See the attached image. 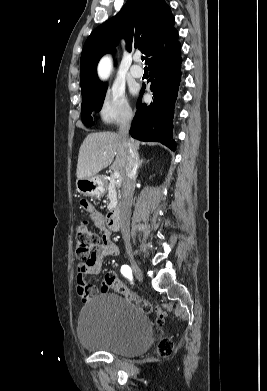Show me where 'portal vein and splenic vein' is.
<instances>
[{
  "label": "portal vein and splenic vein",
  "mask_w": 267,
  "mask_h": 391,
  "mask_svg": "<svg viewBox=\"0 0 267 391\" xmlns=\"http://www.w3.org/2000/svg\"><path fill=\"white\" fill-rule=\"evenodd\" d=\"M111 177H112L113 179H118V178L120 177V173L117 172V171H115V172L111 175Z\"/></svg>",
  "instance_id": "18ae733b"
}]
</instances>
